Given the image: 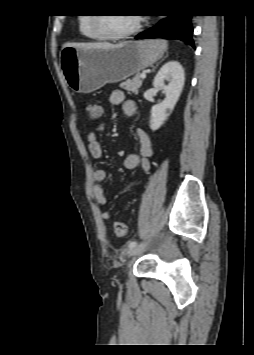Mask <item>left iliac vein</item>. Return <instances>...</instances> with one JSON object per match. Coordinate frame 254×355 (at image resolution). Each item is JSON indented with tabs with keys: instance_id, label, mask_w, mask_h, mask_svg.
<instances>
[{
	"instance_id": "left-iliac-vein-1",
	"label": "left iliac vein",
	"mask_w": 254,
	"mask_h": 355,
	"mask_svg": "<svg viewBox=\"0 0 254 355\" xmlns=\"http://www.w3.org/2000/svg\"><path fill=\"white\" fill-rule=\"evenodd\" d=\"M147 244L146 243H142L140 245H137L133 248H131L130 252H129V256L135 257L140 255L145 249H146Z\"/></svg>"
}]
</instances>
